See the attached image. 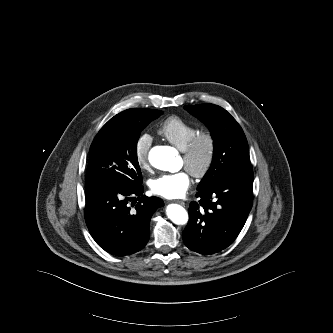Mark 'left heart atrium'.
Wrapping results in <instances>:
<instances>
[{"mask_svg": "<svg viewBox=\"0 0 333 333\" xmlns=\"http://www.w3.org/2000/svg\"><path fill=\"white\" fill-rule=\"evenodd\" d=\"M191 184L190 176L186 171L164 174L154 178L150 183L151 191L167 199L183 197Z\"/></svg>", "mask_w": 333, "mask_h": 333, "instance_id": "1", "label": "left heart atrium"}]
</instances>
